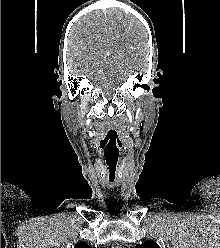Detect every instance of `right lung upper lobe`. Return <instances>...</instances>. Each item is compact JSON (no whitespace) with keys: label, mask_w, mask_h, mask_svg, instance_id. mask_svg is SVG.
<instances>
[{"label":"right lung upper lobe","mask_w":220,"mask_h":248,"mask_svg":"<svg viewBox=\"0 0 220 248\" xmlns=\"http://www.w3.org/2000/svg\"><path fill=\"white\" fill-rule=\"evenodd\" d=\"M74 248H92L91 246H89L88 244L86 243H77Z\"/></svg>","instance_id":"1"}]
</instances>
